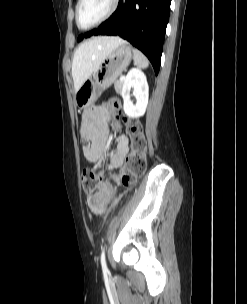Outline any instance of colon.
Wrapping results in <instances>:
<instances>
[{"label": "colon", "instance_id": "colon-1", "mask_svg": "<svg viewBox=\"0 0 247 304\" xmlns=\"http://www.w3.org/2000/svg\"><path fill=\"white\" fill-rule=\"evenodd\" d=\"M127 132L131 138V152L126 159L121 173L116 177L118 185L130 187L142 176L146 168V141L142 133L141 125L136 120L123 118ZM99 184V174L92 169H85L82 173V185L86 193L96 190ZM113 187L110 184H102L101 188L87 199L91 210L100 214L110 201Z\"/></svg>", "mask_w": 247, "mask_h": 304}]
</instances>
